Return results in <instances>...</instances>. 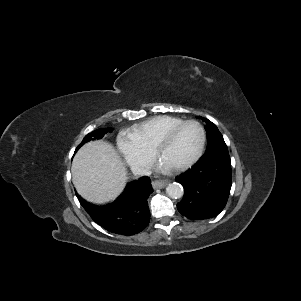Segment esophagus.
<instances>
[{"instance_id": "esophagus-1", "label": "esophagus", "mask_w": 301, "mask_h": 301, "mask_svg": "<svg viewBox=\"0 0 301 301\" xmlns=\"http://www.w3.org/2000/svg\"><path fill=\"white\" fill-rule=\"evenodd\" d=\"M168 184L167 180H157L153 182V188L154 189H162Z\"/></svg>"}]
</instances>
